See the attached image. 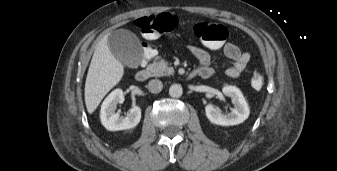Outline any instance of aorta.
<instances>
[{
  "mask_svg": "<svg viewBox=\"0 0 337 171\" xmlns=\"http://www.w3.org/2000/svg\"><path fill=\"white\" fill-rule=\"evenodd\" d=\"M183 94V89L180 84H173L169 88V95L173 98H179Z\"/></svg>",
  "mask_w": 337,
  "mask_h": 171,
  "instance_id": "aorta-1",
  "label": "aorta"
}]
</instances>
